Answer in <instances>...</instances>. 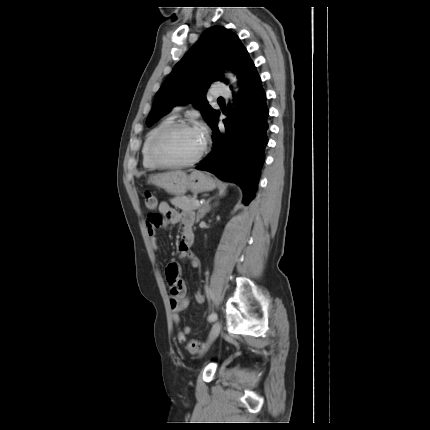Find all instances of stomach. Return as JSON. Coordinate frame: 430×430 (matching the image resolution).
Returning a JSON list of instances; mask_svg holds the SVG:
<instances>
[{"label": "stomach", "instance_id": "1", "mask_svg": "<svg viewBox=\"0 0 430 430\" xmlns=\"http://www.w3.org/2000/svg\"><path fill=\"white\" fill-rule=\"evenodd\" d=\"M149 182L178 196L184 195L188 190L200 193L215 188V181L202 171H193L190 174L180 170L169 171L150 176Z\"/></svg>", "mask_w": 430, "mask_h": 430}]
</instances>
